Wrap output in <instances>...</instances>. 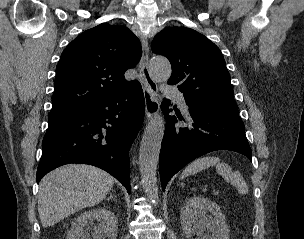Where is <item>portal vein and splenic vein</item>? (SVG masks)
Returning <instances> with one entry per match:
<instances>
[{"instance_id":"portal-vein-and-splenic-vein-1","label":"portal vein and splenic vein","mask_w":304,"mask_h":239,"mask_svg":"<svg viewBox=\"0 0 304 239\" xmlns=\"http://www.w3.org/2000/svg\"><path fill=\"white\" fill-rule=\"evenodd\" d=\"M214 195H217L219 192L217 190H213Z\"/></svg>"}]
</instances>
